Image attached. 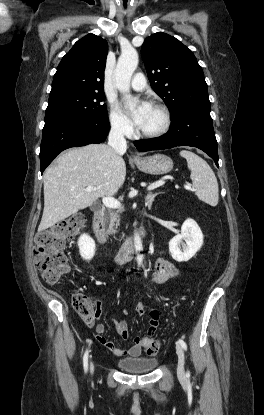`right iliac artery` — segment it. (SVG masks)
Listing matches in <instances>:
<instances>
[{
	"instance_id": "obj_1",
	"label": "right iliac artery",
	"mask_w": 264,
	"mask_h": 415,
	"mask_svg": "<svg viewBox=\"0 0 264 415\" xmlns=\"http://www.w3.org/2000/svg\"><path fill=\"white\" fill-rule=\"evenodd\" d=\"M88 353H89V350L87 349L83 356V366H84L85 372H87V369H88Z\"/></svg>"
}]
</instances>
